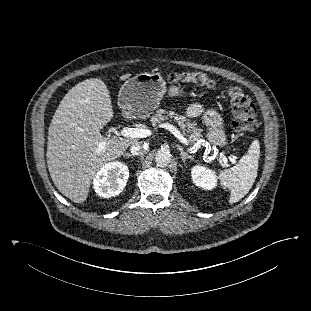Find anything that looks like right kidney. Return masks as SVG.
<instances>
[{
	"label": "right kidney",
	"instance_id": "1",
	"mask_svg": "<svg viewBox=\"0 0 311 311\" xmlns=\"http://www.w3.org/2000/svg\"><path fill=\"white\" fill-rule=\"evenodd\" d=\"M129 178L128 167L119 161L103 165L96 173L93 185L98 196L108 198L120 194Z\"/></svg>",
	"mask_w": 311,
	"mask_h": 311
}]
</instances>
